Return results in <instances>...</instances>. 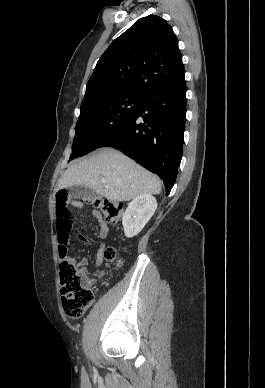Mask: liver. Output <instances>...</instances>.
Masks as SVG:
<instances>
[{"label":"liver","instance_id":"liver-1","mask_svg":"<svg viewBox=\"0 0 265 388\" xmlns=\"http://www.w3.org/2000/svg\"><path fill=\"white\" fill-rule=\"evenodd\" d=\"M101 178L107 180L108 188L100 182ZM69 186H87L112 202H127L140 194L161 192V182L155 174L113 148H103L100 154L88 160H74L56 190Z\"/></svg>","mask_w":265,"mask_h":388}]
</instances>
